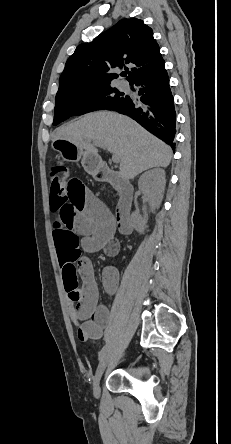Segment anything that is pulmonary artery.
Returning a JSON list of instances; mask_svg holds the SVG:
<instances>
[{
	"label": "pulmonary artery",
	"mask_w": 231,
	"mask_h": 444,
	"mask_svg": "<svg viewBox=\"0 0 231 444\" xmlns=\"http://www.w3.org/2000/svg\"><path fill=\"white\" fill-rule=\"evenodd\" d=\"M119 87H120L121 89L127 90V89H128V83L125 82V81H120V82H119Z\"/></svg>",
	"instance_id": "e3ab8cb5"
}]
</instances>
